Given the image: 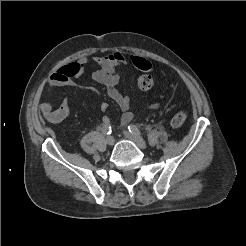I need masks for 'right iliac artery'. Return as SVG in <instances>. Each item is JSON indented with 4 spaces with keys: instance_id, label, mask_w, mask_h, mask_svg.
Segmentation results:
<instances>
[{
    "instance_id": "right-iliac-artery-1",
    "label": "right iliac artery",
    "mask_w": 246,
    "mask_h": 246,
    "mask_svg": "<svg viewBox=\"0 0 246 246\" xmlns=\"http://www.w3.org/2000/svg\"><path fill=\"white\" fill-rule=\"evenodd\" d=\"M102 131L104 134H107V135L111 134V132H112L111 126L108 123H105L102 127Z\"/></svg>"
}]
</instances>
